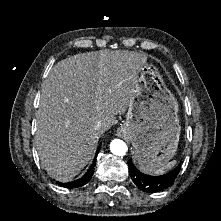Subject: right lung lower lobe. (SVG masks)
Listing matches in <instances>:
<instances>
[{"mask_svg": "<svg viewBox=\"0 0 221 221\" xmlns=\"http://www.w3.org/2000/svg\"><path fill=\"white\" fill-rule=\"evenodd\" d=\"M99 149L100 148H98V150L96 151V156L98 155ZM95 164H96V159H94L91 167L89 168V170L85 173V175L82 178L77 179L72 182H68V183H59L58 182V184L63 187H66V188H77V187L84 186L85 184H87L90 181V179L94 173Z\"/></svg>", "mask_w": 221, "mask_h": 221, "instance_id": "1", "label": "right lung lower lobe"}]
</instances>
